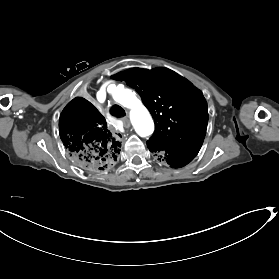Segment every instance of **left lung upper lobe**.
<instances>
[{
	"mask_svg": "<svg viewBox=\"0 0 279 279\" xmlns=\"http://www.w3.org/2000/svg\"><path fill=\"white\" fill-rule=\"evenodd\" d=\"M112 78L134 88L152 114L156 129L147 143L199 152L206 134L208 108L203 94L190 81L164 67L131 68Z\"/></svg>",
	"mask_w": 279,
	"mask_h": 279,
	"instance_id": "5c2ea615",
	"label": "left lung upper lobe"
}]
</instances>
